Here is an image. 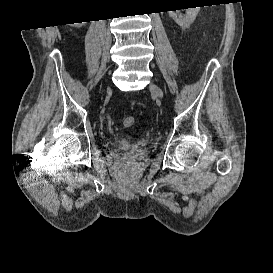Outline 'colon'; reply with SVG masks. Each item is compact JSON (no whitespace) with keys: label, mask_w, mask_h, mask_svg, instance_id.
Here are the masks:
<instances>
[{"label":"colon","mask_w":273,"mask_h":273,"mask_svg":"<svg viewBox=\"0 0 273 273\" xmlns=\"http://www.w3.org/2000/svg\"><path fill=\"white\" fill-rule=\"evenodd\" d=\"M135 118L133 116H127L123 119V125L126 128L133 127L135 125Z\"/></svg>","instance_id":"1"}]
</instances>
